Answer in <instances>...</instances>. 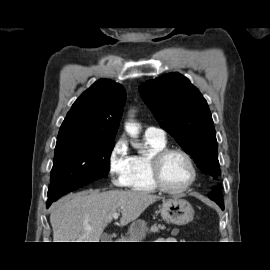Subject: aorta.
Wrapping results in <instances>:
<instances>
[{
    "instance_id": "762f6f07",
    "label": "aorta",
    "mask_w": 270,
    "mask_h": 270,
    "mask_svg": "<svg viewBox=\"0 0 270 270\" xmlns=\"http://www.w3.org/2000/svg\"><path fill=\"white\" fill-rule=\"evenodd\" d=\"M125 130L132 138H137L139 134V126L133 122H128L125 124ZM137 147V145H133Z\"/></svg>"
}]
</instances>
